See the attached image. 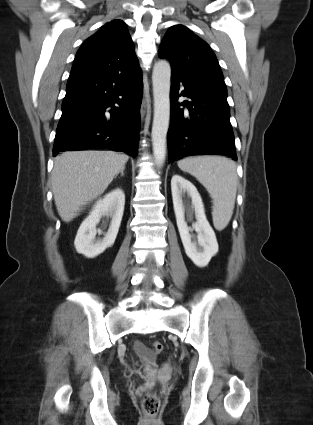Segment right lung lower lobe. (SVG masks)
I'll return each instance as SVG.
<instances>
[{"label": "right lung lower lobe", "instance_id": "right-lung-lower-lobe-1", "mask_svg": "<svg viewBox=\"0 0 313 425\" xmlns=\"http://www.w3.org/2000/svg\"><path fill=\"white\" fill-rule=\"evenodd\" d=\"M141 100L140 66L131 71L110 68L70 73L53 155L75 149H110L135 157Z\"/></svg>", "mask_w": 313, "mask_h": 425}]
</instances>
